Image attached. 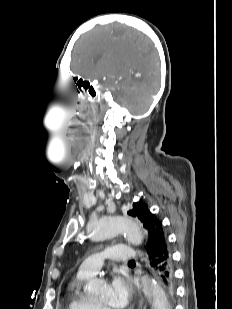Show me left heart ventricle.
I'll return each instance as SVG.
<instances>
[{
  "label": "left heart ventricle",
  "instance_id": "left-heart-ventricle-1",
  "mask_svg": "<svg viewBox=\"0 0 232 309\" xmlns=\"http://www.w3.org/2000/svg\"><path fill=\"white\" fill-rule=\"evenodd\" d=\"M110 299H111L110 286H106L102 290L100 295L97 297V301L104 304V305L111 307Z\"/></svg>",
  "mask_w": 232,
  "mask_h": 309
}]
</instances>
